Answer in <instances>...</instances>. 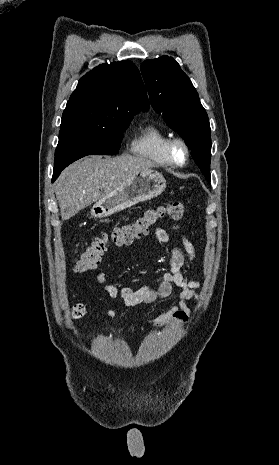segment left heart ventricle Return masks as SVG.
Listing matches in <instances>:
<instances>
[{
    "label": "left heart ventricle",
    "mask_w": 279,
    "mask_h": 465,
    "mask_svg": "<svg viewBox=\"0 0 279 465\" xmlns=\"http://www.w3.org/2000/svg\"><path fill=\"white\" fill-rule=\"evenodd\" d=\"M176 156L178 157V159H181V158H182L183 153H182V150H181L180 148H178V149L176 150Z\"/></svg>",
    "instance_id": "left-heart-ventricle-1"
}]
</instances>
